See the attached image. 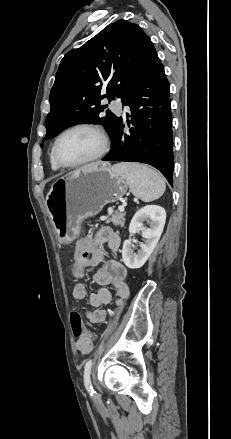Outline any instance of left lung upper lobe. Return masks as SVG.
<instances>
[{
	"label": "left lung upper lobe",
	"instance_id": "5c2ea615",
	"mask_svg": "<svg viewBox=\"0 0 231 439\" xmlns=\"http://www.w3.org/2000/svg\"><path fill=\"white\" fill-rule=\"evenodd\" d=\"M150 38L137 25L118 20L108 25L83 46L68 52L59 65L50 93L51 110L46 118L43 141L80 123L102 124L112 137L118 116L100 105L107 97L124 98L141 71ZM101 91L105 95L101 96ZM43 147V142L41 143Z\"/></svg>",
	"mask_w": 231,
	"mask_h": 439
}]
</instances>
